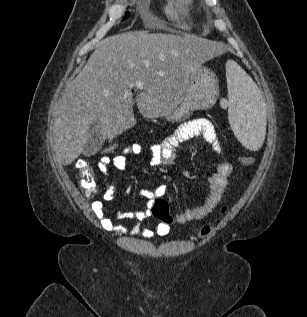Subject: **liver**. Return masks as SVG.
<instances>
[{
  "instance_id": "obj_1",
  "label": "liver",
  "mask_w": 307,
  "mask_h": 317,
  "mask_svg": "<svg viewBox=\"0 0 307 317\" xmlns=\"http://www.w3.org/2000/svg\"><path fill=\"white\" fill-rule=\"evenodd\" d=\"M224 54L220 44L188 34L136 31L100 41L59 100L53 125L57 159L63 165L77 159L96 120L109 140L133 127L131 85L136 81L144 84L136 97L139 112L159 117L173 109L195 69Z\"/></svg>"
}]
</instances>
